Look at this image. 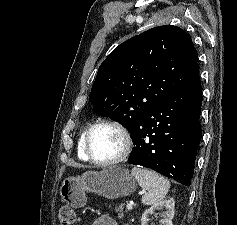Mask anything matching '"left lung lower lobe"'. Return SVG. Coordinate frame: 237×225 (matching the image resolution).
I'll return each mask as SVG.
<instances>
[{
	"mask_svg": "<svg viewBox=\"0 0 237 225\" xmlns=\"http://www.w3.org/2000/svg\"><path fill=\"white\" fill-rule=\"evenodd\" d=\"M201 105L200 83L156 104L130 131L134 148L128 163L190 186L202 137Z\"/></svg>",
	"mask_w": 237,
	"mask_h": 225,
	"instance_id": "1",
	"label": "left lung lower lobe"
}]
</instances>
